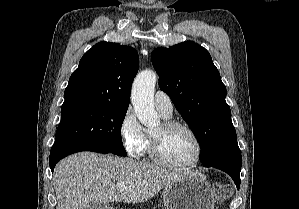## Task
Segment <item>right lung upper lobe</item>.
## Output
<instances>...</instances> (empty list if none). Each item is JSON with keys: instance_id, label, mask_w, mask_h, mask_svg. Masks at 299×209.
I'll list each match as a JSON object with an SVG mask.
<instances>
[{"instance_id": "1", "label": "right lung upper lobe", "mask_w": 299, "mask_h": 209, "mask_svg": "<svg viewBox=\"0 0 299 209\" xmlns=\"http://www.w3.org/2000/svg\"><path fill=\"white\" fill-rule=\"evenodd\" d=\"M138 66L139 57L134 48L111 42L97 43L83 55L72 73L63 105L128 107Z\"/></svg>"}]
</instances>
